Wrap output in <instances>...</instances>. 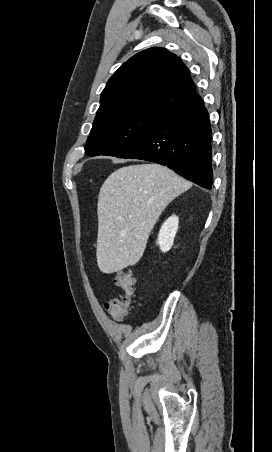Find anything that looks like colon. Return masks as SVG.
Masks as SVG:
<instances>
[{"label": "colon", "instance_id": "1", "mask_svg": "<svg viewBox=\"0 0 272 452\" xmlns=\"http://www.w3.org/2000/svg\"><path fill=\"white\" fill-rule=\"evenodd\" d=\"M115 283L122 289L125 296L113 298L107 303V310L118 316H126L130 311L131 297L135 292V277L130 271H119L115 275Z\"/></svg>", "mask_w": 272, "mask_h": 452}]
</instances>
